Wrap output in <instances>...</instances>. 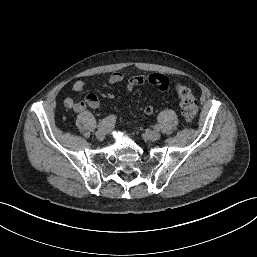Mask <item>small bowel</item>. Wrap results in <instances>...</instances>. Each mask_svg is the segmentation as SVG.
Here are the masks:
<instances>
[{
    "instance_id": "1",
    "label": "small bowel",
    "mask_w": 257,
    "mask_h": 257,
    "mask_svg": "<svg viewBox=\"0 0 257 257\" xmlns=\"http://www.w3.org/2000/svg\"><path fill=\"white\" fill-rule=\"evenodd\" d=\"M124 80V75L120 72L112 73L108 82L110 84H118ZM144 83H149L151 85L157 86L161 91H165L169 86V79L164 74L161 73H152L149 75H137L132 76L126 81V89L127 91H132L136 86L142 85ZM85 87V83L82 80H77L72 85V90L74 92L80 93L83 91ZM64 105L68 109H73L75 112H82L87 107L98 109L101 107V103L99 98L93 94L89 93L85 96L82 101L74 102L71 98H66L64 100ZM154 112V106L152 104H148L144 108V113L146 115H150Z\"/></svg>"
}]
</instances>
